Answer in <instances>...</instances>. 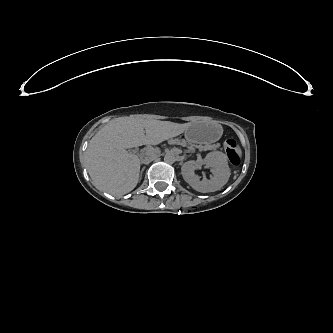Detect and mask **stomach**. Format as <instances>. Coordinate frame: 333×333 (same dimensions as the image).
Returning a JSON list of instances; mask_svg holds the SVG:
<instances>
[{"instance_id": "0dacf381", "label": "stomach", "mask_w": 333, "mask_h": 333, "mask_svg": "<svg viewBox=\"0 0 333 333\" xmlns=\"http://www.w3.org/2000/svg\"><path fill=\"white\" fill-rule=\"evenodd\" d=\"M186 139L188 142H191V143H198L197 140L193 139L190 135H186Z\"/></svg>"}]
</instances>
